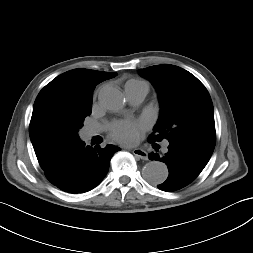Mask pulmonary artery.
Instances as JSON below:
<instances>
[{
  "label": "pulmonary artery",
  "instance_id": "pulmonary-artery-1",
  "mask_svg": "<svg viewBox=\"0 0 253 253\" xmlns=\"http://www.w3.org/2000/svg\"><path fill=\"white\" fill-rule=\"evenodd\" d=\"M147 93L148 87L146 86H134L125 89L126 97L128 101L133 105L141 103L146 97ZM98 132H99L98 127H86L83 133L86 138H91ZM168 145L169 143L167 141L164 142V150H167Z\"/></svg>",
  "mask_w": 253,
  "mask_h": 253
}]
</instances>
